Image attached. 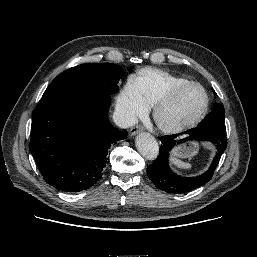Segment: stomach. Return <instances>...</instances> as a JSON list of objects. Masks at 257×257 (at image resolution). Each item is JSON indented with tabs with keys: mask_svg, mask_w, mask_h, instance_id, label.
I'll list each match as a JSON object with an SVG mask.
<instances>
[{
	"mask_svg": "<svg viewBox=\"0 0 257 257\" xmlns=\"http://www.w3.org/2000/svg\"><path fill=\"white\" fill-rule=\"evenodd\" d=\"M198 143L194 141H188L182 144H179L173 150V154L179 158H190L193 157L198 151Z\"/></svg>",
	"mask_w": 257,
	"mask_h": 257,
	"instance_id": "1",
	"label": "stomach"
}]
</instances>
